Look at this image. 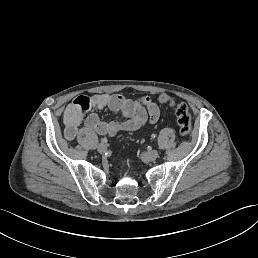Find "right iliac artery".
<instances>
[{
	"mask_svg": "<svg viewBox=\"0 0 258 258\" xmlns=\"http://www.w3.org/2000/svg\"><path fill=\"white\" fill-rule=\"evenodd\" d=\"M107 141H108V140H107L106 138H102V139H101V142H102V143H106Z\"/></svg>",
	"mask_w": 258,
	"mask_h": 258,
	"instance_id": "right-iliac-artery-1",
	"label": "right iliac artery"
}]
</instances>
